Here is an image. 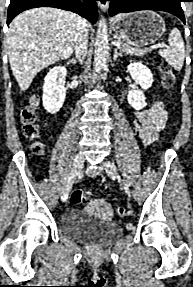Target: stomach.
Wrapping results in <instances>:
<instances>
[{
  "instance_id": "obj_1",
  "label": "stomach",
  "mask_w": 193,
  "mask_h": 287,
  "mask_svg": "<svg viewBox=\"0 0 193 287\" xmlns=\"http://www.w3.org/2000/svg\"><path fill=\"white\" fill-rule=\"evenodd\" d=\"M112 25L116 35L135 47L152 44L165 32L163 18L153 11L121 14Z\"/></svg>"
}]
</instances>
